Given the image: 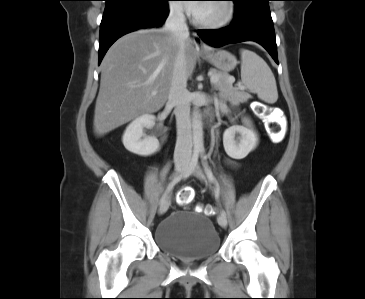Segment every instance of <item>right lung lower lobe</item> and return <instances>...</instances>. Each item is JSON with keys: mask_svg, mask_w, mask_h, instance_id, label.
Returning a JSON list of instances; mask_svg holds the SVG:
<instances>
[{"mask_svg": "<svg viewBox=\"0 0 365 299\" xmlns=\"http://www.w3.org/2000/svg\"><path fill=\"white\" fill-rule=\"evenodd\" d=\"M167 0H127L107 4L100 24L99 64L121 36L139 28L161 25L168 16Z\"/></svg>", "mask_w": 365, "mask_h": 299, "instance_id": "obj_1", "label": "right lung lower lobe"}]
</instances>
